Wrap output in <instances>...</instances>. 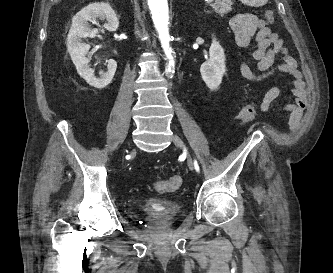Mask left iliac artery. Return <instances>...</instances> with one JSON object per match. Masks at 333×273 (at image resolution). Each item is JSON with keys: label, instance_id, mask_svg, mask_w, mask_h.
<instances>
[{"label": "left iliac artery", "instance_id": "1", "mask_svg": "<svg viewBox=\"0 0 333 273\" xmlns=\"http://www.w3.org/2000/svg\"><path fill=\"white\" fill-rule=\"evenodd\" d=\"M194 167H195L196 171L199 172V166H198V163L196 160L194 161Z\"/></svg>", "mask_w": 333, "mask_h": 273}]
</instances>
